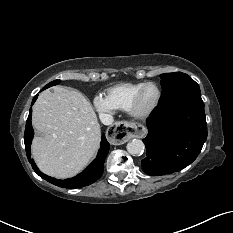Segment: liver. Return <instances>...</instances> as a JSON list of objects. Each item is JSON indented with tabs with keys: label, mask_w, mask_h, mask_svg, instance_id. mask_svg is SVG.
Masks as SVG:
<instances>
[{
	"label": "liver",
	"mask_w": 233,
	"mask_h": 233,
	"mask_svg": "<svg viewBox=\"0 0 233 233\" xmlns=\"http://www.w3.org/2000/svg\"><path fill=\"white\" fill-rule=\"evenodd\" d=\"M32 124L42 133L33 139L32 156L49 176H75L99 148L101 130L96 113L77 90L55 86L43 91L33 106Z\"/></svg>",
	"instance_id": "6515ba94"
}]
</instances>
